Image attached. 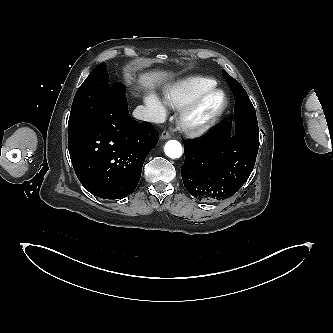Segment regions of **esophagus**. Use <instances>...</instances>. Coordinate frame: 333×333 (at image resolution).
Here are the masks:
<instances>
[{
  "instance_id": "esophagus-1",
  "label": "esophagus",
  "mask_w": 333,
  "mask_h": 333,
  "mask_svg": "<svg viewBox=\"0 0 333 333\" xmlns=\"http://www.w3.org/2000/svg\"><path fill=\"white\" fill-rule=\"evenodd\" d=\"M170 137H171V134L168 131H163L160 135V139H162V140L169 139Z\"/></svg>"
}]
</instances>
